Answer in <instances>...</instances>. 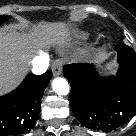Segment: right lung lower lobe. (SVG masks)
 <instances>
[{"instance_id":"obj_1","label":"right lung lower lobe","mask_w":136,"mask_h":136,"mask_svg":"<svg viewBox=\"0 0 136 136\" xmlns=\"http://www.w3.org/2000/svg\"><path fill=\"white\" fill-rule=\"evenodd\" d=\"M51 78V70L43 75H27L17 89L0 97V136H18L34 126Z\"/></svg>"}]
</instances>
